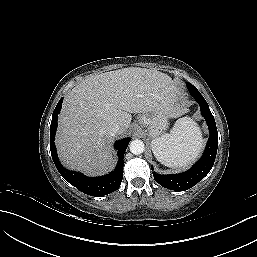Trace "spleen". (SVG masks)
<instances>
[{"mask_svg": "<svg viewBox=\"0 0 257 257\" xmlns=\"http://www.w3.org/2000/svg\"><path fill=\"white\" fill-rule=\"evenodd\" d=\"M156 159L167 167H186L194 161L203 147L200 128L189 117L178 119L170 133L151 142Z\"/></svg>", "mask_w": 257, "mask_h": 257, "instance_id": "1", "label": "spleen"}]
</instances>
